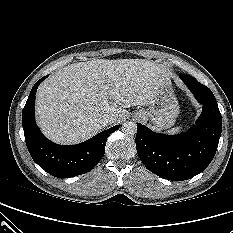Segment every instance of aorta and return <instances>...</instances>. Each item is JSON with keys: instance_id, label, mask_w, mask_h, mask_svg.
<instances>
[{"instance_id": "aorta-1", "label": "aorta", "mask_w": 233, "mask_h": 233, "mask_svg": "<svg viewBox=\"0 0 233 233\" xmlns=\"http://www.w3.org/2000/svg\"><path fill=\"white\" fill-rule=\"evenodd\" d=\"M122 132L127 135H134L137 132L136 123L132 121H126L122 125Z\"/></svg>"}]
</instances>
